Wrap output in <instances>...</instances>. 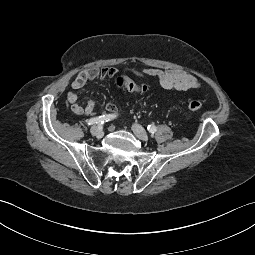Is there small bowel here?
<instances>
[{
  "mask_svg": "<svg viewBox=\"0 0 255 255\" xmlns=\"http://www.w3.org/2000/svg\"><path fill=\"white\" fill-rule=\"evenodd\" d=\"M129 72L141 78H155L159 85L164 89H174L186 91L189 89H198L201 86L200 81L193 75L180 70H161L157 68L130 69ZM118 69L113 67H90L81 71L71 82L73 90L84 88L90 82L96 79H107L115 76ZM67 100L71 111L76 115L92 114L95 109V101L87 99L82 106L78 103V95L75 91L67 94ZM107 111L110 115L114 114L116 107L114 104L107 105Z\"/></svg>",
  "mask_w": 255,
  "mask_h": 255,
  "instance_id": "c3829d8e",
  "label": "small bowel"
}]
</instances>
